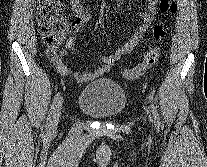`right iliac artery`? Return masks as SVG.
Listing matches in <instances>:
<instances>
[{
  "label": "right iliac artery",
  "mask_w": 207,
  "mask_h": 167,
  "mask_svg": "<svg viewBox=\"0 0 207 167\" xmlns=\"http://www.w3.org/2000/svg\"><path fill=\"white\" fill-rule=\"evenodd\" d=\"M59 101H60V92L55 95L53 103L51 105V108H50V111H49V114H48V118H47V122H46V125H45L46 132L50 131L52 115L55 112Z\"/></svg>",
  "instance_id": "obj_1"
}]
</instances>
